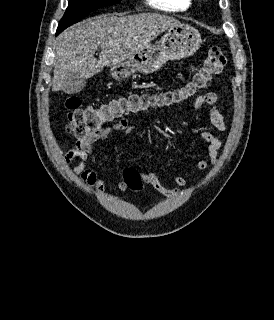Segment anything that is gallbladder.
<instances>
[{"mask_svg":"<svg viewBox=\"0 0 274 320\" xmlns=\"http://www.w3.org/2000/svg\"><path fill=\"white\" fill-rule=\"evenodd\" d=\"M67 78L63 79V89L66 95H80L84 88V80L81 68H73L72 72H67Z\"/></svg>","mask_w":274,"mask_h":320,"instance_id":"gallbladder-1","label":"gallbladder"}]
</instances>
